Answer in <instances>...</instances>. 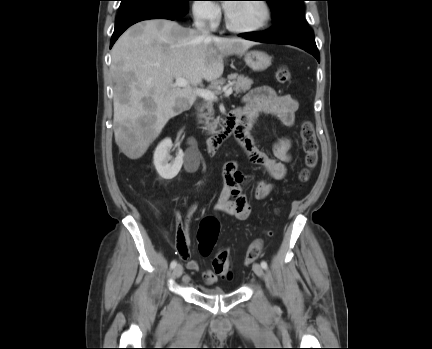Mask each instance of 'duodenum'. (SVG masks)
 <instances>
[{
  "instance_id": "1",
  "label": "duodenum",
  "mask_w": 432,
  "mask_h": 349,
  "mask_svg": "<svg viewBox=\"0 0 432 349\" xmlns=\"http://www.w3.org/2000/svg\"><path fill=\"white\" fill-rule=\"evenodd\" d=\"M241 116L240 110L230 112L223 120L218 132L207 139L206 146L210 155H216L227 139L235 133Z\"/></svg>"
}]
</instances>
